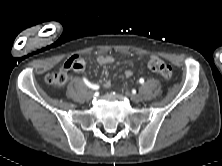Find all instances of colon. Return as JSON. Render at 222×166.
I'll use <instances>...</instances> for the list:
<instances>
[{"label":"colon","mask_w":222,"mask_h":166,"mask_svg":"<svg viewBox=\"0 0 222 166\" xmlns=\"http://www.w3.org/2000/svg\"><path fill=\"white\" fill-rule=\"evenodd\" d=\"M147 68L165 79L171 78L173 73L172 67L157 57H152L148 60ZM67 79L68 74L66 71L63 70L58 72H51L45 77L46 83L55 86H61L65 84Z\"/></svg>","instance_id":"colon-1"}]
</instances>
